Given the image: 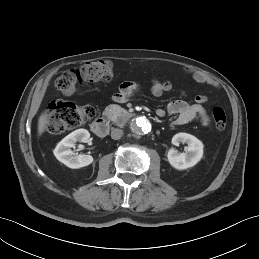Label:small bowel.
<instances>
[{"mask_svg":"<svg viewBox=\"0 0 259 259\" xmlns=\"http://www.w3.org/2000/svg\"><path fill=\"white\" fill-rule=\"evenodd\" d=\"M185 72L196 82L208 84L211 86H217V82L208 76L207 74L192 69H185ZM172 89V84L169 81H154L151 87V92L154 96H162ZM139 85L134 81H124L121 83L118 91L113 95V100L116 103H124L129 100L137 91ZM206 102V97L199 95L195 98L194 103H189L183 99H177L171 101L167 106V112L172 115H176L174 123L176 125H182L192 122L196 119H200L201 122L208 124V117L206 115L203 103ZM156 114L160 117L165 115L164 109H157Z\"/></svg>","mask_w":259,"mask_h":259,"instance_id":"1","label":"small bowel"}]
</instances>
